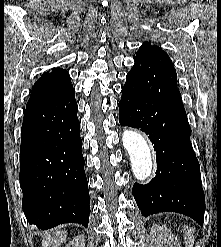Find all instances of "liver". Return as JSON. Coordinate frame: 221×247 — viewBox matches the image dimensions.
I'll use <instances>...</instances> for the list:
<instances>
[{
	"mask_svg": "<svg viewBox=\"0 0 221 247\" xmlns=\"http://www.w3.org/2000/svg\"><path fill=\"white\" fill-rule=\"evenodd\" d=\"M67 233L65 231H56L53 236L47 235L43 240V247H59L66 239Z\"/></svg>",
	"mask_w": 221,
	"mask_h": 247,
	"instance_id": "liver-1",
	"label": "liver"
}]
</instances>
